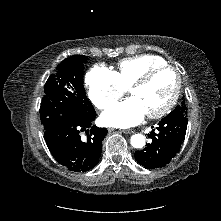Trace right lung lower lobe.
<instances>
[{"mask_svg":"<svg viewBox=\"0 0 221 221\" xmlns=\"http://www.w3.org/2000/svg\"><path fill=\"white\" fill-rule=\"evenodd\" d=\"M95 118V110L85 115L68 116L45 130L44 139L52 156L71 171H89L99 161L107 130L91 127ZM82 131L89 133L86 140L81 139Z\"/></svg>","mask_w":221,"mask_h":221,"instance_id":"obj_1","label":"right lung lower lobe"}]
</instances>
